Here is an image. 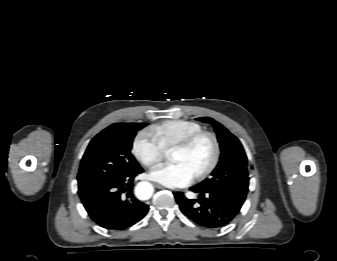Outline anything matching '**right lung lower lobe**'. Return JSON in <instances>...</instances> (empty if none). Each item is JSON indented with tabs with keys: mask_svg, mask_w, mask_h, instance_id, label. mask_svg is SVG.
<instances>
[{
	"mask_svg": "<svg viewBox=\"0 0 337 261\" xmlns=\"http://www.w3.org/2000/svg\"><path fill=\"white\" fill-rule=\"evenodd\" d=\"M142 172L141 168L124 178L80 194L91 219L108 230H123L140 221L147 214L149 206L134 197L132 182Z\"/></svg>",
	"mask_w": 337,
	"mask_h": 261,
	"instance_id": "1",
	"label": "right lung lower lobe"
}]
</instances>
